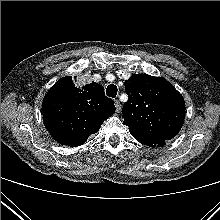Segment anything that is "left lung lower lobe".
<instances>
[{"instance_id": "left-lung-lower-lobe-1", "label": "left lung lower lobe", "mask_w": 220, "mask_h": 220, "mask_svg": "<svg viewBox=\"0 0 220 220\" xmlns=\"http://www.w3.org/2000/svg\"><path fill=\"white\" fill-rule=\"evenodd\" d=\"M133 137L139 141L140 143H143L147 146L151 147H162L166 144L167 140H160V139H153V138H147V137H140V136H135Z\"/></svg>"}]
</instances>
